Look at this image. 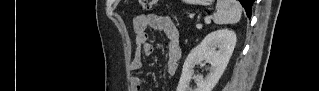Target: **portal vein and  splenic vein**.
<instances>
[{"label":"portal vein and splenic vein","instance_id":"portal-vein-and-splenic-vein-1","mask_svg":"<svg viewBox=\"0 0 319 91\" xmlns=\"http://www.w3.org/2000/svg\"><path fill=\"white\" fill-rule=\"evenodd\" d=\"M205 22H206V23H209V22H210V19H209V18H206V19H205Z\"/></svg>","mask_w":319,"mask_h":91}]
</instances>
